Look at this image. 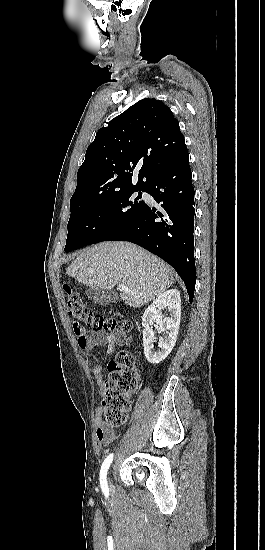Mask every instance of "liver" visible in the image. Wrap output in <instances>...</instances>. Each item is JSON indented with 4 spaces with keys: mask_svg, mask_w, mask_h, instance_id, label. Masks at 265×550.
<instances>
[{
    "mask_svg": "<svg viewBox=\"0 0 265 550\" xmlns=\"http://www.w3.org/2000/svg\"><path fill=\"white\" fill-rule=\"evenodd\" d=\"M68 276L89 287L105 290L124 284L130 292L121 299L141 307L173 283V269L157 256L130 242H102L78 253L67 268Z\"/></svg>",
    "mask_w": 265,
    "mask_h": 550,
    "instance_id": "1",
    "label": "liver"
}]
</instances>
